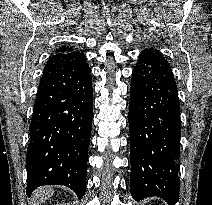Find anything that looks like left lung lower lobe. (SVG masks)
Listing matches in <instances>:
<instances>
[{
    "mask_svg": "<svg viewBox=\"0 0 212 205\" xmlns=\"http://www.w3.org/2000/svg\"><path fill=\"white\" fill-rule=\"evenodd\" d=\"M131 193L158 196L175 205L180 180V104L171 67L154 49L144 50L133 70L129 103Z\"/></svg>",
    "mask_w": 212,
    "mask_h": 205,
    "instance_id": "left-lung-lower-lobe-1",
    "label": "left lung lower lobe"
}]
</instances>
